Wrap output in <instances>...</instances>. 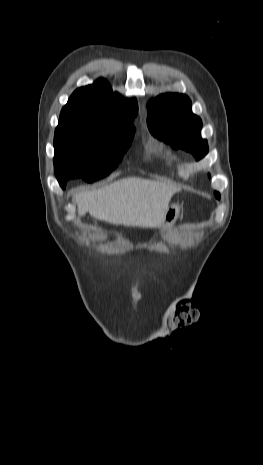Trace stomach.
Returning a JSON list of instances; mask_svg holds the SVG:
<instances>
[{
  "mask_svg": "<svg viewBox=\"0 0 263 465\" xmlns=\"http://www.w3.org/2000/svg\"><path fill=\"white\" fill-rule=\"evenodd\" d=\"M179 212H180L179 204L172 203L171 206L168 208L164 216L163 222H162V226L164 230H167L174 225L175 221L178 218Z\"/></svg>",
  "mask_w": 263,
  "mask_h": 465,
  "instance_id": "stomach-1",
  "label": "stomach"
}]
</instances>
